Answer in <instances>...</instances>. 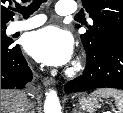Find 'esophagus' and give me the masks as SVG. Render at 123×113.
<instances>
[{"instance_id":"34e87169","label":"esophagus","mask_w":123,"mask_h":113,"mask_svg":"<svg viewBox=\"0 0 123 113\" xmlns=\"http://www.w3.org/2000/svg\"><path fill=\"white\" fill-rule=\"evenodd\" d=\"M43 84L45 86H49V85H54L55 84V80L51 77H46L43 79Z\"/></svg>"}]
</instances>
